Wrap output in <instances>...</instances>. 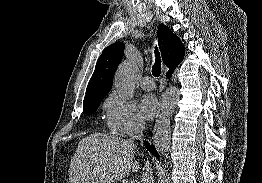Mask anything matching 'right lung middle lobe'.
I'll return each instance as SVG.
<instances>
[{
    "instance_id": "1",
    "label": "right lung middle lobe",
    "mask_w": 262,
    "mask_h": 183,
    "mask_svg": "<svg viewBox=\"0 0 262 183\" xmlns=\"http://www.w3.org/2000/svg\"><path fill=\"white\" fill-rule=\"evenodd\" d=\"M102 100L103 98L91 100V101H83V113L84 114L95 113Z\"/></svg>"
}]
</instances>
